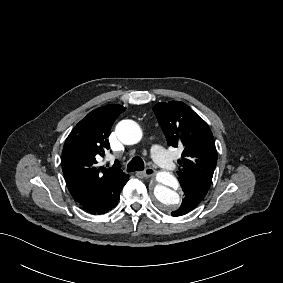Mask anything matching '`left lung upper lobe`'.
Masks as SVG:
<instances>
[{
  "label": "left lung upper lobe",
  "instance_id": "obj_1",
  "mask_svg": "<svg viewBox=\"0 0 283 283\" xmlns=\"http://www.w3.org/2000/svg\"><path fill=\"white\" fill-rule=\"evenodd\" d=\"M168 145L183 147L181 181H195L210 187L217 163L213 134L207 123L183 102H160L154 106Z\"/></svg>",
  "mask_w": 283,
  "mask_h": 283
}]
</instances>
